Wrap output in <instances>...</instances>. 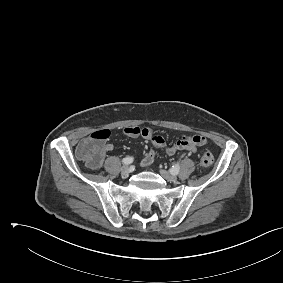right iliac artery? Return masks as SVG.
I'll use <instances>...</instances> for the list:
<instances>
[{
    "instance_id": "1",
    "label": "right iliac artery",
    "mask_w": 283,
    "mask_h": 283,
    "mask_svg": "<svg viewBox=\"0 0 283 283\" xmlns=\"http://www.w3.org/2000/svg\"><path fill=\"white\" fill-rule=\"evenodd\" d=\"M133 162V157H125L123 160H122V163L125 164V165H128V164H131Z\"/></svg>"
}]
</instances>
